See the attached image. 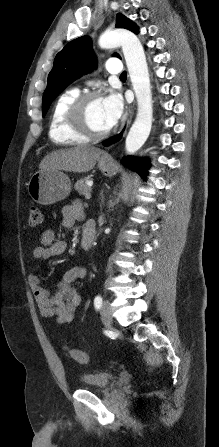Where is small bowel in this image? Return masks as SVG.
<instances>
[{
    "label": "small bowel",
    "instance_id": "small-bowel-1",
    "mask_svg": "<svg viewBox=\"0 0 219 447\" xmlns=\"http://www.w3.org/2000/svg\"><path fill=\"white\" fill-rule=\"evenodd\" d=\"M62 227L70 228L76 220L83 216L80 203L65 206L62 209ZM41 246L34 250L36 259H50L62 255L66 250V243L54 240L51 231H45L41 235ZM86 275L85 267L78 265L66 271L57 282L53 292L44 288L40 284V279L36 274L28 276V285L33 293L35 302L44 318L56 317L58 323H69L74 318L75 309L81 304L82 296L74 288L73 283L82 280Z\"/></svg>",
    "mask_w": 219,
    "mask_h": 447
}]
</instances>
